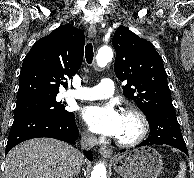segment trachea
Listing matches in <instances>:
<instances>
[{"label": "trachea", "mask_w": 194, "mask_h": 178, "mask_svg": "<svg viewBox=\"0 0 194 178\" xmlns=\"http://www.w3.org/2000/svg\"><path fill=\"white\" fill-rule=\"evenodd\" d=\"M94 53H93V45L91 42L87 43L85 47V58L88 64H91L93 61Z\"/></svg>", "instance_id": "trachea-1"}]
</instances>
